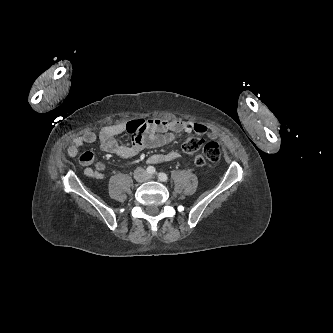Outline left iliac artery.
I'll return each mask as SVG.
<instances>
[{
  "instance_id": "left-iliac-artery-1",
  "label": "left iliac artery",
  "mask_w": 333,
  "mask_h": 333,
  "mask_svg": "<svg viewBox=\"0 0 333 333\" xmlns=\"http://www.w3.org/2000/svg\"><path fill=\"white\" fill-rule=\"evenodd\" d=\"M158 178L160 181L166 182L168 180V176L165 173H159Z\"/></svg>"
}]
</instances>
